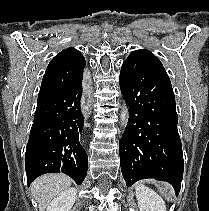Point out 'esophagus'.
Listing matches in <instances>:
<instances>
[{
  "mask_svg": "<svg viewBox=\"0 0 209 211\" xmlns=\"http://www.w3.org/2000/svg\"><path fill=\"white\" fill-rule=\"evenodd\" d=\"M84 90L85 91H90V83L89 82H84L83 83ZM81 108L82 109H89L90 108V99L89 98H82L80 102ZM85 116H88V113H85Z\"/></svg>",
  "mask_w": 209,
  "mask_h": 211,
  "instance_id": "esophagus-1",
  "label": "esophagus"
}]
</instances>
